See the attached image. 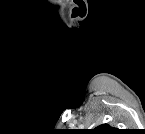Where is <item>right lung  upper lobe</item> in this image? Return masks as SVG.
I'll list each match as a JSON object with an SVG mask.
<instances>
[{"label":"right lung upper lobe","mask_w":145,"mask_h":134,"mask_svg":"<svg viewBox=\"0 0 145 134\" xmlns=\"http://www.w3.org/2000/svg\"><path fill=\"white\" fill-rule=\"evenodd\" d=\"M115 130H116L115 128H112L107 124H102V125H100V126H98L97 128L94 129V131L99 133V134L112 133Z\"/></svg>","instance_id":"1"}]
</instances>
